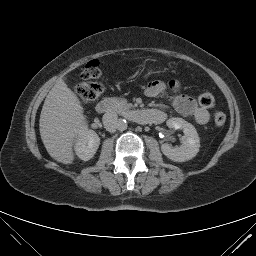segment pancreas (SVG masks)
Wrapping results in <instances>:
<instances>
[{
  "instance_id": "obj_1",
  "label": "pancreas",
  "mask_w": 256,
  "mask_h": 256,
  "mask_svg": "<svg viewBox=\"0 0 256 256\" xmlns=\"http://www.w3.org/2000/svg\"><path fill=\"white\" fill-rule=\"evenodd\" d=\"M113 100L115 102V109H118L120 112L127 111L133 107L126 99L114 98Z\"/></svg>"
}]
</instances>
